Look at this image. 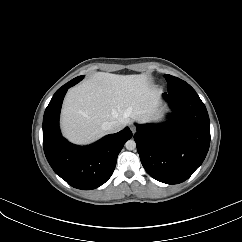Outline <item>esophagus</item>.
Wrapping results in <instances>:
<instances>
[{"label": "esophagus", "instance_id": "obj_1", "mask_svg": "<svg viewBox=\"0 0 242 242\" xmlns=\"http://www.w3.org/2000/svg\"><path fill=\"white\" fill-rule=\"evenodd\" d=\"M131 131H132V133H135L136 132V127L135 126H131Z\"/></svg>", "mask_w": 242, "mask_h": 242}]
</instances>
